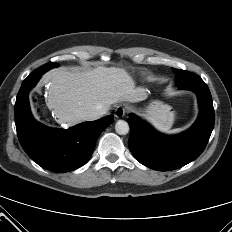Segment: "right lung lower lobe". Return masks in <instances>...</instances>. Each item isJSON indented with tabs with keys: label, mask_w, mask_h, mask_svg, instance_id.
Instances as JSON below:
<instances>
[{
	"label": "right lung lower lobe",
	"mask_w": 232,
	"mask_h": 232,
	"mask_svg": "<svg viewBox=\"0 0 232 232\" xmlns=\"http://www.w3.org/2000/svg\"><path fill=\"white\" fill-rule=\"evenodd\" d=\"M38 79L23 81L15 103L18 139L24 151L41 167L67 172L79 168L90 159L101 132L112 123L108 115L69 129L48 128L31 115L28 93Z\"/></svg>",
	"instance_id": "obj_1"
}]
</instances>
